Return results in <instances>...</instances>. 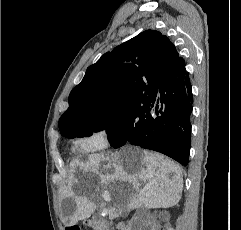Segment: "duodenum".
<instances>
[{"instance_id":"410a0bca","label":"duodenum","mask_w":241,"mask_h":230,"mask_svg":"<svg viewBox=\"0 0 241 230\" xmlns=\"http://www.w3.org/2000/svg\"><path fill=\"white\" fill-rule=\"evenodd\" d=\"M86 224L90 225L92 228H99L102 230H104V225H105L104 222H100L97 220H92V221L86 222Z\"/></svg>"}]
</instances>
